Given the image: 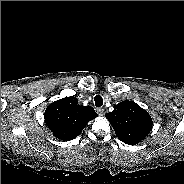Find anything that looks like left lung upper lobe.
<instances>
[{
  "label": "left lung upper lobe",
  "instance_id": "5c2ea615",
  "mask_svg": "<svg viewBox=\"0 0 184 184\" xmlns=\"http://www.w3.org/2000/svg\"><path fill=\"white\" fill-rule=\"evenodd\" d=\"M106 118L114 128L116 136L124 143L135 145L151 131L150 115L133 101L125 100L114 106Z\"/></svg>",
  "mask_w": 184,
  "mask_h": 184
}]
</instances>
